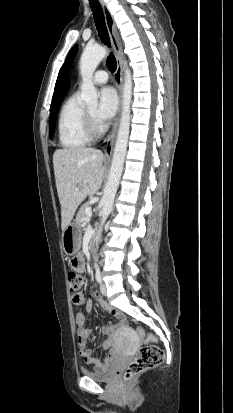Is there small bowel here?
<instances>
[{
  "label": "small bowel",
  "mask_w": 233,
  "mask_h": 413,
  "mask_svg": "<svg viewBox=\"0 0 233 413\" xmlns=\"http://www.w3.org/2000/svg\"><path fill=\"white\" fill-rule=\"evenodd\" d=\"M69 262L71 263V271L77 275H82L85 271V263L83 258L79 254H74L69 257ZM72 302L79 306L84 302V296L81 292H77L72 295ZM97 303L104 311L111 313L119 319V323H111L105 328L103 332L109 337L100 343V347L104 350H108L103 362L93 355V351L87 348V340L92 335V330L86 327V317L84 313L80 310L76 312L75 320L78 326L77 329V340L80 347V355L85 360L86 364L92 365L97 370L106 369L110 363L114 360L116 356V351L113 350L115 343L114 334L123 322V315L116 309H114L108 302H106L102 297L94 290L90 293V300L87 302L86 308L89 313L93 311L94 305Z\"/></svg>",
  "instance_id": "obj_1"
}]
</instances>
